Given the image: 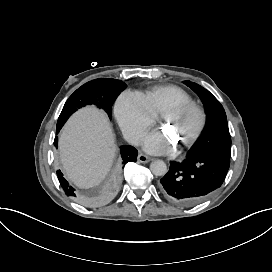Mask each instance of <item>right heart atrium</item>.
<instances>
[{
	"label": "right heart atrium",
	"instance_id": "1",
	"mask_svg": "<svg viewBox=\"0 0 272 272\" xmlns=\"http://www.w3.org/2000/svg\"><path fill=\"white\" fill-rule=\"evenodd\" d=\"M116 113L122 129L134 142H138L156 120V113L146 97L137 92L122 93L116 104Z\"/></svg>",
	"mask_w": 272,
	"mask_h": 272
}]
</instances>
